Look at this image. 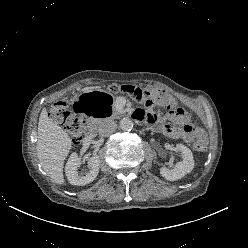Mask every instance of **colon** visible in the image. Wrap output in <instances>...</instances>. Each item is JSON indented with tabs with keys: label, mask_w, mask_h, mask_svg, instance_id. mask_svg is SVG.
<instances>
[{
	"label": "colon",
	"mask_w": 248,
	"mask_h": 248,
	"mask_svg": "<svg viewBox=\"0 0 248 248\" xmlns=\"http://www.w3.org/2000/svg\"><path fill=\"white\" fill-rule=\"evenodd\" d=\"M111 90L122 91L137 101L155 107L160 112H167L172 116L186 118V112L178 107L174 98L161 90H147L133 85L112 86ZM51 118L59 123L69 134L73 143H79L82 138L81 120L75 116L65 101L55 102L50 109ZM194 150L201 152L206 148L205 140H197L193 144Z\"/></svg>",
	"instance_id": "colon-1"
}]
</instances>
